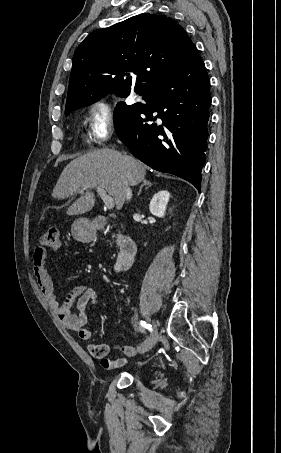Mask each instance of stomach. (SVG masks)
Returning <instances> with one entry per match:
<instances>
[{"label": "stomach", "mask_w": 281, "mask_h": 453, "mask_svg": "<svg viewBox=\"0 0 281 453\" xmlns=\"http://www.w3.org/2000/svg\"><path fill=\"white\" fill-rule=\"evenodd\" d=\"M73 239L81 243H90L95 237V229L88 218H76L71 229Z\"/></svg>", "instance_id": "stomach-1"}]
</instances>
